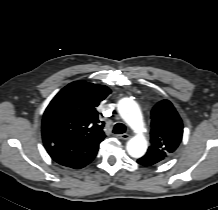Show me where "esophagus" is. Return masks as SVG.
<instances>
[{"label": "esophagus", "instance_id": "1", "mask_svg": "<svg viewBox=\"0 0 218 210\" xmlns=\"http://www.w3.org/2000/svg\"><path fill=\"white\" fill-rule=\"evenodd\" d=\"M117 137H118L119 139H122V140H128V139L130 138V135L127 134V133H124V134H119V135H117Z\"/></svg>", "mask_w": 218, "mask_h": 210}]
</instances>
